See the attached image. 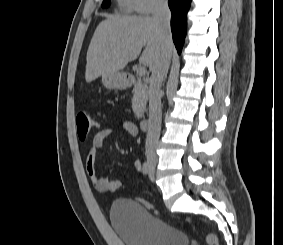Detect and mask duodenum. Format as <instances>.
I'll return each mask as SVG.
<instances>
[{
    "label": "duodenum",
    "mask_w": 283,
    "mask_h": 245,
    "mask_svg": "<svg viewBox=\"0 0 283 245\" xmlns=\"http://www.w3.org/2000/svg\"><path fill=\"white\" fill-rule=\"evenodd\" d=\"M136 82V79L133 75H127L126 76V85L130 86ZM140 128L142 130H147L149 128V120L147 117H142L140 119Z\"/></svg>",
    "instance_id": "1"
}]
</instances>
